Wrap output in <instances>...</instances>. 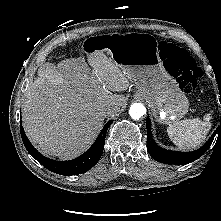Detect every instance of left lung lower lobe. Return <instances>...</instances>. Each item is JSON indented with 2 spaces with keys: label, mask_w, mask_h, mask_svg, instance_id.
<instances>
[{
  "label": "left lung lower lobe",
  "mask_w": 221,
  "mask_h": 221,
  "mask_svg": "<svg viewBox=\"0 0 221 221\" xmlns=\"http://www.w3.org/2000/svg\"><path fill=\"white\" fill-rule=\"evenodd\" d=\"M146 127H147V150L150 156L154 160L164 164L183 165L195 161L208 150L217 131L219 130V133H221V118H220V126L214 132L211 138L204 144V146L193 152L169 151L159 147L153 139L149 117H147L146 120Z\"/></svg>",
  "instance_id": "1"
}]
</instances>
